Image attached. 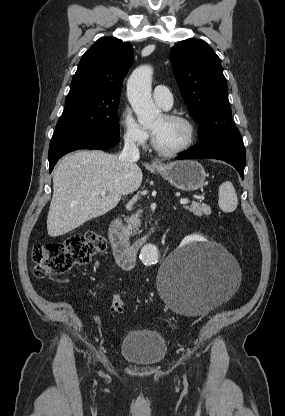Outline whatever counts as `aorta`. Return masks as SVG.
Returning <instances> with one entry per match:
<instances>
[{
    "mask_svg": "<svg viewBox=\"0 0 285 416\" xmlns=\"http://www.w3.org/2000/svg\"><path fill=\"white\" fill-rule=\"evenodd\" d=\"M153 69L148 65L136 68L127 82L128 100L141 125H147L160 116V111L151 97ZM141 260L145 265L157 261L158 250L155 245L147 244L141 249Z\"/></svg>",
    "mask_w": 285,
    "mask_h": 416,
    "instance_id": "762f6f07",
    "label": "aorta"
}]
</instances>
